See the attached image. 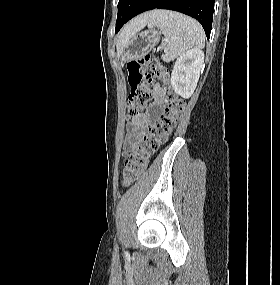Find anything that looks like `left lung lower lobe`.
Returning <instances> with one entry per match:
<instances>
[{
    "instance_id": "0a47b994",
    "label": "left lung lower lobe",
    "mask_w": 280,
    "mask_h": 285,
    "mask_svg": "<svg viewBox=\"0 0 280 285\" xmlns=\"http://www.w3.org/2000/svg\"><path fill=\"white\" fill-rule=\"evenodd\" d=\"M215 0H138L125 23L136 15L152 9H169L197 19L210 37ZM124 24V23H123ZM116 28V32L123 26Z\"/></svg>"
}]
</instances>
